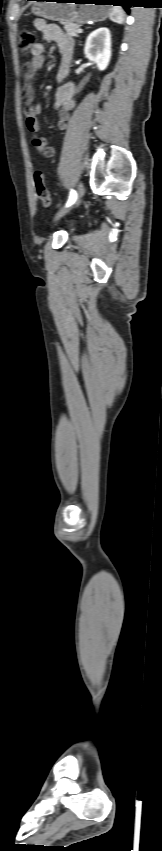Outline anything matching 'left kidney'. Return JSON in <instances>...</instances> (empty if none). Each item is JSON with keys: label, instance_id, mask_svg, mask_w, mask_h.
<instances>
[{"label": "left kidney", "instance_id": "5707ae66", "mask_svg": "<svg viewBox=\"0 0 162 851\" xmlns=\"http://www.w3.org/2000/svg\"><path fill=\"white\" fill-rule=\"evenodd\" d=\"M84 54L87 59L96 63L98 70L104 71L107 68L111 59V34L108 28L101 27L89 34Z\"/></svg>", "mask_w": 162, "mask_h": 851}]
</instances>
